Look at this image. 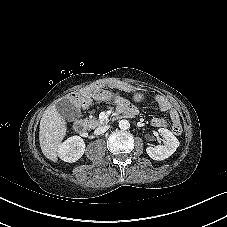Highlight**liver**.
Returning <instances> with one entry per match:
<instances>
[{
  "label": "liver",
  "mask_w": 227,
  "mask_h": 227,
  "mask_svg": "<svg viewBox=\"0 0 227 227\" xmlns=\"http://www.w3.org/2000/svg\"><path fill=\"white\" fill-rule=\"evenodd\" d=\"M66 120L55 105L49 106L40 121L39 142L42 153L53 162L58 160V146L66 135Z\"/></svg>",
  "instance_id": "obj_1"
}]
</instances>
